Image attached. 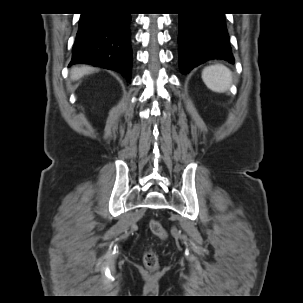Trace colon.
<instances>
[{
	"instance_id": "1",
	"label": "colon",
	"mask_w": 303,
	"mask_h": 303,
	"mask_svg": "<svg viewBox=\"0 0 303 303\" xmlns=\"http://www.w3.org/2000/svg\"><path fill=\"white\" fill-rule=\"evenodd\" d=\"M150 229L154 235L159 237L162 241H165L168 237V233L165 228L156 220L150 222ZM143 263L151 271L158 269L159 260L158 255L153 249H147L143 253Z\"/></svg>"
}]
</instances>
